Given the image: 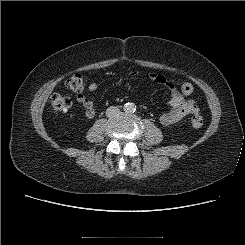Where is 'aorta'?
Returning <instances> with one entry per match:
<instances>
[{
    "mask_svg": "<svg viewBox=\"0 0 245 245\" xmlns=\"http://www.w3.org/2000/svg\"><path fill=\"white\" fill-rule=\"evenodd\" d=\"M124 110H125V112H127V113H132V112H135L136 106H135L134 103H126V104L124 105Z\"/></svg>",
    "mask_w": 245,
    "mask_h": 245,
    "instance_id": "1",
    "label": "aorta"
}]
</instances>
